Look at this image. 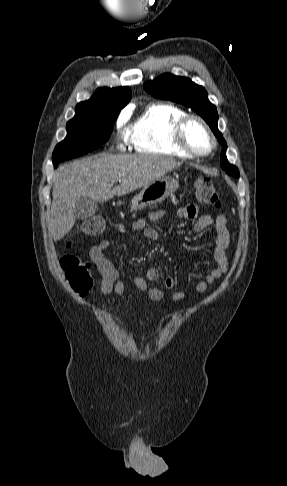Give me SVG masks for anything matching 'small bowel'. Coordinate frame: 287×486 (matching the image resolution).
<instances>
[{"label": "small bowel", "instance_id": "small-bowel-1", "mask_svg": "<svg viewBox=\"0 0 287 486\" xmlns=\"http://www.w3.org/2000/svg\"><path fill=\"white\" fill-rule=\"evenodd\" d=\"M167 215L166 210H156L148 214L147 217L139 218L131 225V230L135 232H142L143 235L151 240L159 239V232L156 228L149 226L148 222H155ZM176 216L181 219L195 220L194 229L196 232H202L214 226L216 237L214 239V246L212 252V260L214 267L211 271L200 281L197 282L196 291L202 293L208 289V286L221 278L228 270V258L226 249L229 246L230 234L228 229V221L224 215H218L213 218L208 214L199 215L198 207L196 205H188L176 211ZM110 246L108 239H103L94 245L89 252V257L96 265L101 275V292L105 295L115 293L123 295L125 292V282L120 277L119 271L115 268L112 262L104 255L105 250ZM161 277L160 269L157 267H150L145 271L144 276H135L133 278L134 285L141 291L146 292L150 299L154 301L162 300L167 290H171L175 286V279L172 276H167L163 280V287H150L148 281H157ZM185 298L183 291L177 290L171 294L173 302H179Z\"/></svg>", "mask_w": 287, "mask_h": 486}]
</instances>
